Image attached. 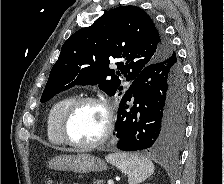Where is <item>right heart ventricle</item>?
Returning <instances> with one entry per match:
<instances>
[{"label":"right heart ventricle","instance_id":"1","mask_svg":"<svg viewBox=\"0 0 224 184\" xmlns=\"http://www.w3.org/2000/svg\"><path fill=\"white\" fill-rule=\"evenodd\" d=\"M74 99V95H66L57 100L49 110L46 123V133L48 140L54 145L64 144L60 134V120L64 111Z\"/></svg>","mask_w":224,"mask_h":184}]
</instances>
